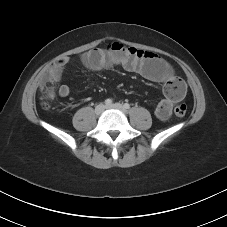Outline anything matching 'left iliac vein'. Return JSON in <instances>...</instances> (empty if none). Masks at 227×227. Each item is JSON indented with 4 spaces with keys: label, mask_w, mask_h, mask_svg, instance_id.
Returning <instances> with one entry per match:
<instances>
[{
    "label": "left iliac vein",
    "mask_w": 227,
    "mask_h": 227,
    "mask_svg": "<svg viewBox=\"0 0 227 227\" xmlns=\"http://www.w3.org/2000/svg\"><path fill=\"white\" fill-rule=\"evenodd\" d=\"M108 109H116L121 111L123 114H126V109L120 103H115L107 106Z\"/></svg>",
    "instance_id": "left-iliac-vein-1"
}]
</instances>
